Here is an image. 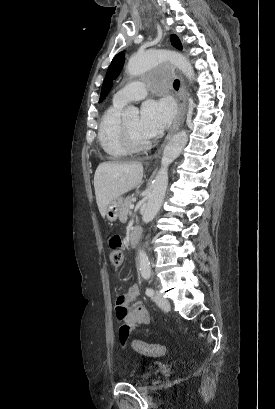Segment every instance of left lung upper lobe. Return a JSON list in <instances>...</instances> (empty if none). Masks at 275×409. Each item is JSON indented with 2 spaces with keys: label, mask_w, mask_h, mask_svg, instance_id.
Wrapping results in <instances>:
<instances>
[{
  "label": "left lung upper lobe",
  "mask_w": 275,
  "mask_h": 409,
  "mask_svg": "<svg viewBox=\"0 0 275 409\" xmlns=\"http://www.w3.org/2000/svg\"><path fill=\"white\" fill-rule=\"evenodd\" d=\"M171 43L174 47L178 49H182V45H181L179 38L174 34L171 35ZM124 60H125L124 52L118 53L113 58L111 65L109 66L107 70L106 77L102 85L101 96H100L99 102H102L104 98L107 96V94L109 93L113 85V80L116 79L120 74V71L123 67Z\"/></svg>",
  "instance_id": "left-lung-upper-lobe-1"
}]
</instances>
